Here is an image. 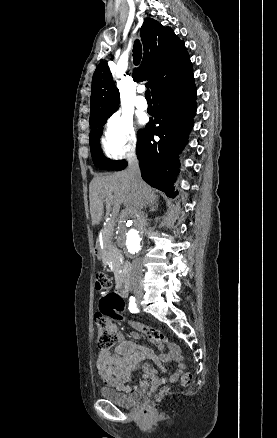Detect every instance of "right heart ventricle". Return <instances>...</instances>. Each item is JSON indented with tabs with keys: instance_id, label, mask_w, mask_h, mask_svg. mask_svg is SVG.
Here are the masks:
<instances>
[{
	"instance_id": "right-heart-ventricle-1",
	"label": "right heart ventricle",
	"mask_w": 277,
	"mask_h": 438,
	"mask_svg": "<svg viewBox=\"0 0 277 438\" xmlns=\"http://www.w3.org/2000/svg\"><path fill=\"white\" fill-rule=\"evenodd\" d=\"M107 148H108V153L111 156H116V153L112 150V148L107 144Z\"/></svg>"
}]
</instances>
